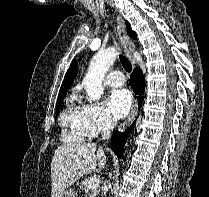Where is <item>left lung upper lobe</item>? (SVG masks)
Segmentation results:
<instances>
[{"label": "left lung upper lobe", "mask_w": 209, "mask_h": 197, "mask_svg": "<svg viewBox=\"0 0 209 197\" xmlns=\"http://www.w3.org/2000/svg\"><path fill=\"white\" fill-rule=\"evenodd\" d=\"M125 24H126V27H127V30H128V33L130 34V36L133 38V39H136V34H135V32H133L132 30H131V26H130V24L126 21L125 22Z\"/></svg>", "instance_id": "obj_1"}]
</instances>
